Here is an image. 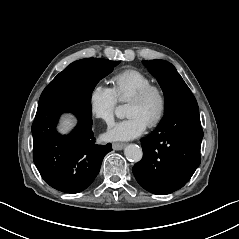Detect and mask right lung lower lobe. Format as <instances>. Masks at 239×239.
Segmentation results:
<instances>
[{
	"label": "right lung lower lobe",
	"mask_w": 239,
	"mask_h": 239,
	"mask_svg": "<svg viewBox=\"0 0 239 239\" xmlns=\"http://www.w3.org/2000/svg\"><path fill=\"white\" fill-rule=\"evenodd\" d=\"M64 112L74 113L79 122L67 136L56 125ZM90 100L70 95L39 104L32 124L33 160L45 182L64 193L85 190L99 173L111 144L96 145L92 132Z\"/></svg>",
	"instance_id": "obj_1"
}]
</instances>
